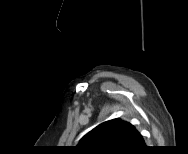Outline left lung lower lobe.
<instances>
[{
	"mask_svg": "<svg viewBox=\"0 0 188 154\" xmlns=\"http://www.w3.org/2000/svg\"><path fill=\"white\" fill-rule=\"evenodd\" d=\"M144 145L145 143H144L143 137L138 131H136L133 142H132L131 150L144 147Z\"/></svg>",
	"mask_w": 188,
	"mask_h": 154,
	"instance_id": "obj_1",
	"label": "left lung lower lobe"
}]
</instances>
